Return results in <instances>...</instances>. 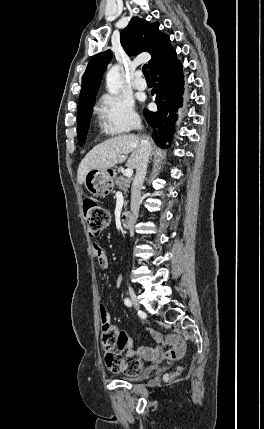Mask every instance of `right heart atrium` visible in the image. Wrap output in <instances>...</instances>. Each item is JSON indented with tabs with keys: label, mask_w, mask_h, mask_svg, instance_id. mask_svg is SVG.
<instances>
[{
	"label": "right heart atrium",
	"mask_w": 264,
	"mask_h": 429,
	"mask_svg": "<svg viewBox=\"0 0 264 429\" xmlns=\"http://www.w3.org/2000/svg\"><path fill=\"white\" fill-rule=\"evenodd\" d=\"M96 110L103 130L110 135L127 133L140 124L133 101L122 95H102L97 101Z\"/></svg>",
	"instance_id": "obj_1"
}]
</instances>
